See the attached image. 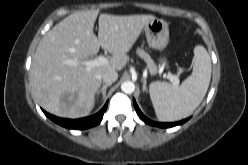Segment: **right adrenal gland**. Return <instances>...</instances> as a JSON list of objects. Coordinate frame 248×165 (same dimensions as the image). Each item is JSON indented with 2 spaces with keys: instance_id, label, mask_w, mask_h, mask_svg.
Instances as JSON below:
<instances>
[{
  "instance_id": "2a0ac1e0",
  "label": "right adrenal gland",
  "mask_w": 248,
  "mask_h": 165,
  "mask_svg": "<svg viewBox=\"0 0 248 165\" xmlns=\"http://www.w3.org/2000/svg\"><path fill=\"white\" fill-rule=\"evenodd\" d=\"M111 86V84H105L103 85L98 91H97V94L99 95L101 92H102V95H103V98H105L106 96V90L107 88Z\"/></svg>"
}]
</instances>
